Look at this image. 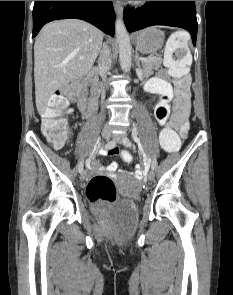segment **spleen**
Segmentation results:
<instances>
[{"instance_id": "spleen-1", "label": "spleen", "mask_w": 233, "mask_h": 295, "mask_svg": "<svg viewBox=\"0 0 233 295\" xmlns=\"http://www.w3.org/2000/svg\"><path fill=\"white\" fill-rule=\"evenodd\" d=\"M188 40L189 36L182 31L175 32L169 37L165 47V61L171 68H184L191 64L192 56L188 49ZM178 48L186 49V55L181 61H173L172 55Z\"/></svg>"}]
</instances>
